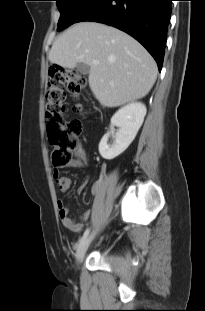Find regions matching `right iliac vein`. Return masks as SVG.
I'll return each instance as SVG.
<instances>
[{"label":"right iliac vein","mask_w":205,"mask_h":311,"mask_svg":"<svg viewBox=\"0 0 205 311\" xmlns=\"http://www.w3.org/2000/svg\"><path fill=\"white\" fill-rule=\"evenodd\" d=\"M93 239V235L89 236V237H86L78 246L77 248V251H76V261L77 263H80L84 256H85V253L91 243Z\"/></svg>","instance_id":"right-iliac-vein-1"}]
</instances>
